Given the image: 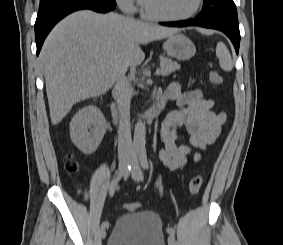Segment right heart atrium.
<instances>
[{
	"label": "right heart atrium",
	"instance_id": "1",
	"mask_svg": "<svg viewBox=\"0 0 283 245\" xmlns=\"http://www.w3.org/2000/svg\"><path fill=\"white\" fill-rule=\"evenodd\" d=\"M117 5L126 13H132L136 10L135 0H115Z\"/></svg>",
	"mask_w": 283,
	"mask_h": 245
}]
</instances>
